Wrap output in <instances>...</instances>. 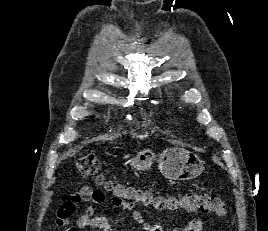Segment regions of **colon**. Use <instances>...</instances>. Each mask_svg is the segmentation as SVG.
<instances>
[{
  "mask_svg": "<svg viewBox=\"0 0 268 231\" xmlns=\"http://www.w3.org/2000/svg\"><path fill=\"white\" fill-rule=\"evenodd\" d=\"M77 170L85 177H90L102 186L121 209L131 205L141 204L151 206L157 210L176 211L183 209L188 213H212L218 217H225L227 209L222 199L216 195L188 191L180 197L153 196L148 191L133 187H126L107 179L103 173L100 161L93 155H83L76 160ZM86 194L85 191L81 195Z\"/></svg>",
  "mask_w": 268,
  "mask_h": 231,
  "instance_id": "5ec220e1",
  "label": "colon"
}]
</instances>
